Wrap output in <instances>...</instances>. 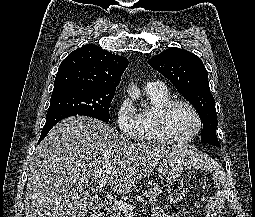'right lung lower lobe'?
Instances as JSON below:
<instances>
[{
  "mask_svg": "<svg viewBox=\"0 0 255 217\" xmlns=\"http://www.w3.org/2000/svg\"><path fill=\"white\" fill-rule=\"evenodd\" d=\"M76 114L68 113V112H59L56 114H53L51 116L46 117V123L42 129L40 139L38 141V144L45 138V136L48 134V132L52 129V127L61 121L64 118L74 116Z\"/></svg>",
  "mask_w": 255,
  "mask_h": 217,
  "instance_id": "right-lung-lower-lobe-1",
  "label": "right lung lower lobe"
}]
</instances>
